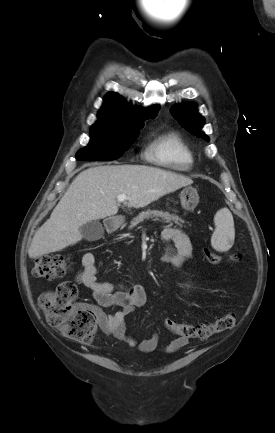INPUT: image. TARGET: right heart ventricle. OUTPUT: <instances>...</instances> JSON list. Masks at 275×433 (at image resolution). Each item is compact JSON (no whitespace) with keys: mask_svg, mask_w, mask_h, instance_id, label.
Masks as SVG:
<instances>
[{"mask_svg":"<svg viewBox=\"0 0 275 433\" xmlns=\"http://www.w3.org/2000/svg\"><path fill=\"white\" fill-rule=\"evenodd\" d=\"M148 158L162 166L185 171L193 164V155L181 136L169 132L158 137L147 151Z\"/></svg>","mask_w":275,"mask_h":433,"instance_id":"right-heart-ventricle-1","label":"right heart ventricle"}]
</instances>
